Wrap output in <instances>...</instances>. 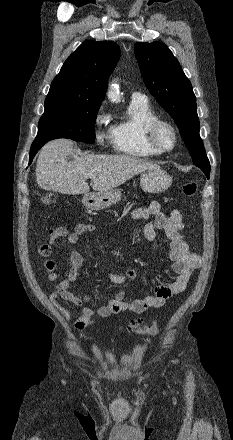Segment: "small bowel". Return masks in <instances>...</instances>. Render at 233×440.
I'll list each match as a JSON object with an SVG mask.
<instances>
[{
	"mask_svg": "<svg viewBox=\"0 0 233 440\" xmlns=\"http://www.w3.org/2000/svg\"><path fill=\"white\" fill-rule=\"evenodd\" d=\"M133 220H152L143 229L144 237L147 241H153L156 237V229L163 230L171 242L169 259L172 263V271L176 278L168 285H159L155 288V293L144 298H136L126 301V292L118 291L110 298L106 304L91 308L87 305L90 301L87 295H78L71 291L70 285L74 283L81 271L84 263L82 255L76 251H70L71 268L65 279L61 280L55 290L50 294L49 299L54 308L61 316L68 320L71 317L70 311L61 305L58 300H65L73 303L80 309V315L74 323L77 331H83L93 325V317L106 318L118 313L142 314L150 308H161L172 296L184 291L193 271L202 264V257L199 254L191 253L185 237L182 233L183 218L178 210H173L169 215L161 212V205L157 201H152L146 207L134 209L130 213ZM95 229L92 224L80 223L69 232L67 228L59 226L52 228L48 232V243L40 244L37 252L42 257H50L53 253V246L61 238H66L69 247L77 244L80 236ZM46 280L54 282L59 279L60 272L57 271L56 262L53 259L46 261L44 265ZM108 279L114 284H123L129 279L136 277L134 269H126L122 273H107Z\"/></svg>",
	"mask_w": 233,
	"mask_h": 440,
	"instance_id": "c3829d8e",
	"label": "small bowel"
}]
</instances>
